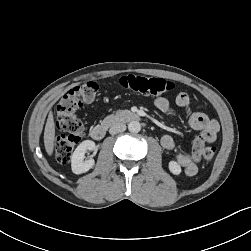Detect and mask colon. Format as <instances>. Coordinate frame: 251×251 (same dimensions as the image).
<instances>
[{"mask_svg": "<svg viewBox=\"0 0 251 251\" xmlns=\"http://www.w3.org/2000/svg\"><path fill=\"white\" fill-rule=\"evenodd\" d=\"M123 89L143 95H161L174 89L171 81L138 75H126L119 79ZM98 93L95 82L77 84L69 89L56 106L57 127L62 132L55 143V156L58 162H69L72 152L81 141L83 124L77 116V111L84 105L94 102ZM216 155V148L209 146L202 152L203 159L210 162Z\"/></svg>", "mask_w": 251, "mask_h": 251, "instance_id": "colon-1", "label": "colon"}]
</instances>
